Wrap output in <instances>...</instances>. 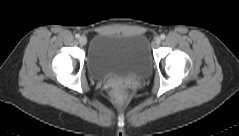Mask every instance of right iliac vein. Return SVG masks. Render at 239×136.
Here are the masks:
<instances>
[{
  "label": "right iliac vein",
  "instance_id": "obj_1",
  "mask_svg": "<svg viewBox=\"0 0 239 136\" xmlns=\"http://www.w3.org/2000/svg\"><path fill=\"white\" fill-rule=\"evenodd\" d=\"M79 43H80L81 45H86V43H87V38H86L85 36H81V37L79 38Z\"/></svg>",
  "mask_w": 239,
  "mask_h": 136
}]
</instances>
